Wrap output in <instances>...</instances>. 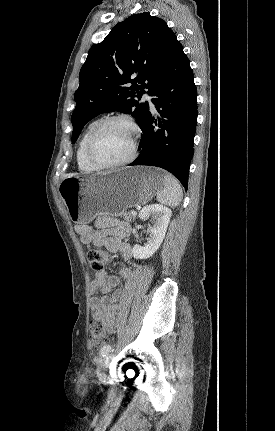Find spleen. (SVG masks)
Masks as SVG:
<instances>
[{
    "label": "spleen",
    "mask_w": 275,
    "mask_h": 431,
    "mask_svg": "<svg viewBox=\"0 0 275 431\" xmlns=\"http://www.w3.org/2000/svg\"><path fill=\"white\" fill-rule=\"evenodd\" d=\"M182 189L178 181L169 174L164 176L163 188L157 193V200L170 207H176L182 200Z\"/></svg>",
    "instance_id": "3e777b00"
}]
</instances>
